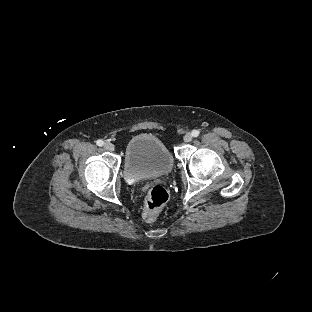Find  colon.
I'll return each mask as SVG.
<instances>
[{"label": "colon", "instance_id": "5ec220e1", "mask_svg": "<svg viewBox=\"0 0 312 312\" xmlns=\"http://www.w3.org/2000/svg\"><path fill=\"white\" fill-rule=\"evenodd\" d=\"M169 194L161 185L152 186L147 192L145 207L143 211L144 219L153 223L156 221L160 208L168 201Z\"/></svg>", "mask_w": 312, "mask_h": 312}]
</instances>
